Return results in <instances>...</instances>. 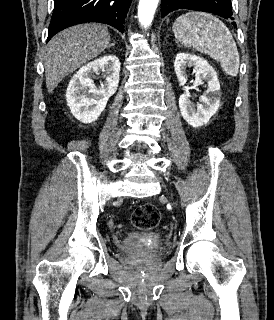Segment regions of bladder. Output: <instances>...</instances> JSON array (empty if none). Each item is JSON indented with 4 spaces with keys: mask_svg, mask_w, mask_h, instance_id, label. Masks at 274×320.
I'll use <instances>...</instances> for the list:
<instances>
[{
    "mask_svg": "<svg viewBox=\"0 0 274 320\" xmlns=\"http://www.w3.org/2000/svg\"><path fill=\"white\" fill-rule=\"evenodd\" d=\"M159 235L155 232H130L121 242V249L129 254H144L155 251Z\"/></svg>",
    "mask_w": 274,
    "mask_h": 320,
    "instance_id": "31cf9c89",
    "label": "bladder"
}]
</instances>
